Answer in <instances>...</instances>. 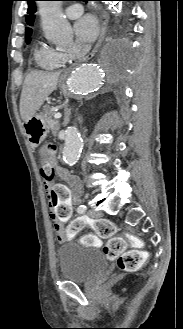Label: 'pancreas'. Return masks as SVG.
I'll list each match as a JSON object with an SVG mask.
<instances>
[{"label":"pancreas","instance_id":"obj_1","mask_svg":"<svg viewBox=\"0 0 183 329\" xmlns=\"http://www.w3.org/2000/svg\"><path fill=\"white\" fill-rule=\"evenodd\" d=\"M54 114H55V112H52L48 115V117L46 118V123H47V129L49 131H52V133L54 135H56L60 129V124H59L58 120H54L52 118Z\"/></svg>","mask_w":183,"mask_h":329}]
</instances>
